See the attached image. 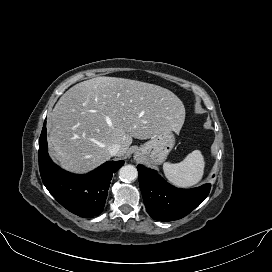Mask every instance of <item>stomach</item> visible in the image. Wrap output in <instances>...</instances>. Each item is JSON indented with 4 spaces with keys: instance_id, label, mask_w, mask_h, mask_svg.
Instances as JSON below:
<instances>
[{
    "instance_id": "obj_1",
    "label": "stomach",
    "mask_w": 272,
    "mask_h": 272,
    "mask_svg": "<svg viewBox=\"0 0 272 272\" xmlns=\"http://www.w3.org/2000/svg\"><path fill=\"white\" fill-rule=\"evenodd\" d=\"M171 129L155 134L135 152L136 158H144L151 164H162L175 145V136Z\"/></svg>"
}]
</instances>
